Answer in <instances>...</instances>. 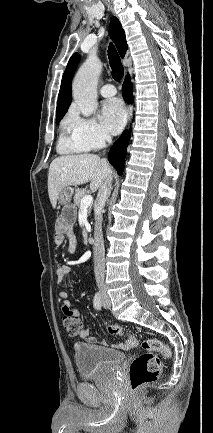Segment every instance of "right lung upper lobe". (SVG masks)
I'll return each mask as SVG.
<instances>
[{
    "mask_svg": "<svg viewBox=\"0 0 213 433\" xmlns=\"http://www.w3.org/2000/svg\"><path fill=\"white\" fill-rule=\"evenodd\" d=\"M109 32L116 44L120 56L123 58L127 52L128 45L126 43L124 30L121 26L120 21L116 17H113L111 20ZM79 61L80 55L78 53H74L71 56L63 74L61 87L58 95L56 120H61V118L67 112L71 103V83Z\"/></svg>",
    "mask_w": 213,
    "mask_h": 433,
    "instance_id": "1",
    "label": "right lung upper lobe"
}]
</instances>
